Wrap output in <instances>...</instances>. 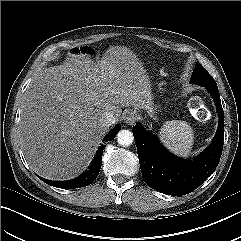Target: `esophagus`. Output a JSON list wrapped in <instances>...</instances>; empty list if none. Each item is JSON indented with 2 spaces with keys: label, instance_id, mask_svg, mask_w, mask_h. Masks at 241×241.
I'll return each instance as SVG.
<instances>
[{
  "label": "esophagus",
  "instance_id": "1",
  "mask_svg": "<svg viewBox=\"0 0 241 241\" xmlns=\"http://www.w3.org/2000/svg\"><path fill=\"white\" fill-rule=\"evenodd\" d=\"M137 120V114L133 111H128L124 115V122L127 125H133Z\"/></svg>",
  "mask_w": 241,
  "mask_h": 241
}]
</instances>
